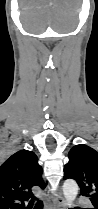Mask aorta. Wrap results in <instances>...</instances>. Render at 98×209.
I'll return each mask as SVG.
<instances>
[{"instance_id": "762f6f07", "label": "aorta", "mask_w": 98, "mask_h": 209, "mask_svg": "<svg viewBox=\"0 0 98 209\" xmlns=\"http://www.w3.org/2000/svg\"><path fill=\"white\" fill-rule=\"evenodd\" d=\"M78 185L74 180H66L63 184L64 198L69 206L72 205L78 194Z\"/></svg>"}]
</instances>
